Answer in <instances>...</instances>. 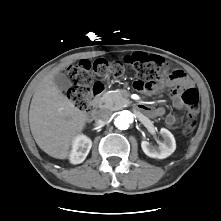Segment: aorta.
<instances>
[{"label":"aorta","instance_id":"1","mask_svg":"<svg viewBox=\"0 0 221 221\" xmlns=\"http://www.w3.org/2000/svg\"><path fill=\"white\" fill-rule=\"evenodd\" d=\"M135 119V115L130 110H124L115 118V126L120 130L127 129Z\"/></svg>","mask_w":221,"mask_h":221}]
</instances>
